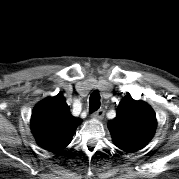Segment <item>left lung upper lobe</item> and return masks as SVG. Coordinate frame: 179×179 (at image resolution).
Listing matches in <instances>:
<instances>
[{"instance_id": "obj_1", "label": "left lung upper lobe", "mask_w": 179, "mask_h": 179, "mask_svg": "<svg viewBox=\"0 0 179 179\" xmlns=\"http://www.w3.org/2000/svg\"><path fill=\"white\" fill-rule=\"evenodd\" d=\"M116 113V117L108 123L113 142L129 152L145 147L157 126L153 109L143 101L126 96L119 103Z\"/></svg>"}]
</instances>
